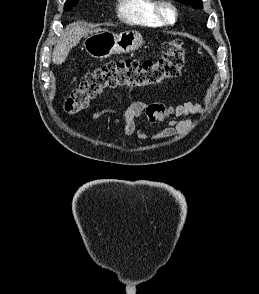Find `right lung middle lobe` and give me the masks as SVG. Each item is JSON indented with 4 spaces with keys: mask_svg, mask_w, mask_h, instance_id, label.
Listing matches in <instances>:
<instances>
[{
    "mask_svg": "<svg viewBox=\"0 0 259 294\" xmlns=\"http://www.w3.org/2000/svg\"><path fill=\"white\" fill-rule=\"evenodd\" d=\"M79 0H66V3L64 5L65 10H71L74 6L78 4Z\"/></svg>",
    "mask_w": 259,
    "mask_h": 294,
    "instance_id": "1",
    "label": "right lung middle lobe"
}]
</instances>
